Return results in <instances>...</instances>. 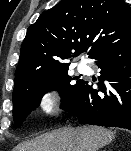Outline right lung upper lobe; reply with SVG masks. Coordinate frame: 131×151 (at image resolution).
Returning <instances> with one entry per match:
<instances>
[{
    "instance_id": "obj_1",
    "label": "right lung upper lobe",
    "mask_w": 131,
    "mask_h": 151,
    "mask_svg": "<svg viewBox=\"0 0 131 151\" xmlns=\"http://www.w3.org/2000/svg\"><path fill=\"white\" fill-rule=\"evenodd\" d=\"M130 32L131 10L124 0H61L28 28L14 89L69 66L63 60L82 52L90 57Z\"/></svg>"
}]
</instances>
